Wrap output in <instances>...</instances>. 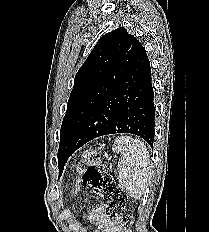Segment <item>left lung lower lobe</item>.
<instances>
[{
    "label": "left lung lower lobe",
    "instance_id": "obj_1",
    "mask_svg": "<svg viewBox=\"0 0 209 232\" xmlns=\"http://www.w3.org/2000/svg\"><path fill=\"white\" fill-rule=\"evenodd\" d=\"M116 133L137 135L150 146L154 142L155 107L151 67L142 45L123 80L92 110L74 134L69 155L97 137Z\"/></svg>",
    "mask_w": 209,
    "mask_h": 232
}]
</instances>
